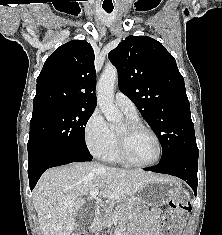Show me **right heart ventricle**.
Returning a JSON list of instances; mask_svg holds the SVG:
<instances>
[{
	"label": "right heart ventricle",
	"instance_id": "1",
	"mask_svg": "<svg viewBox=\"0 0 222 235\" xmlns=\"http://www.w3.org/2000/svg\"><path fill=\"white\" fill-rule=\"evenodd\" d=\"M127 118L128 119H131V120H138L137 116H130V115H127ZM114 133V141H113V144L112 146L110 147V149L103 155V158L106 159L107 161H110V162H121L119 156H118V153H117V138H116V133Z\"/></svg>",
	"mask_w": 222,
	"mask_h": 235
}]
</instances>
